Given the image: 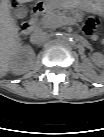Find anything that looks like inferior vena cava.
Segmentation results:
<instances>
[{
  "instance_id": "602c4592",
  "label": "inferior vena cava",
  "mask_w": 104,
  "mask_h": 137,
  "mask_svg": "<svg viewBox=\"0 0 104 137\" xmlns=\"http://www.w3.org/2000/svg\"><path fill=\"white\" fill-rule=\"evenodd\" d=\"M48 39V34L42 30H36L30 36V41L34 44H41Z\"/></svg>"
}]
</instances>
